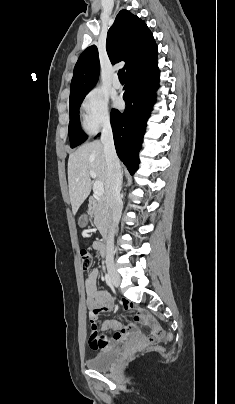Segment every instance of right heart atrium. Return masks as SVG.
Returning <instances> with one entry per match:
<instances>
[{
  "label": "right heart atrium",
  "mask_w": 235,
  "mask_h": 404,
  "mask_svg": "<svg viewBox=\"0 0 235 404\" xmlns=\"http://www.w3.org/2000/svg\"><path fill=\"white\" fill-rule=\"evenodd\" d=\"M81 114L84 126L90 133L109 126L111 115L108 98L97 89L90 90L82 100Z\"/></svg>",
  "instance_id": "right-heart-atrium-1"
}]
</instances>
